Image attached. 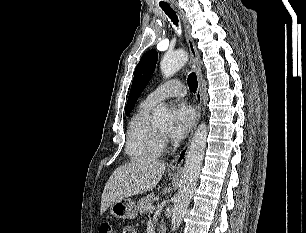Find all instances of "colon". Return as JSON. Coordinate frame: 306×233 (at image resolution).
Segmentation results:
<instances>
[{"instance_id":"colon-1","label":"colon","mask_w":306,"mask_h":233,"mask_svg":"<svg viewBox=\"0 0 306 233\" xmlns=\"http://www.w3.org/2000/svg\"><path fill=\"white\" fill-rule=\"evenodd\" d=\"M99 233H116V232H115V229H114L112 224H110V223H103L100 226ZM128 233H133V231L132 230H128Z\"/></svg>"}]
</instances>
